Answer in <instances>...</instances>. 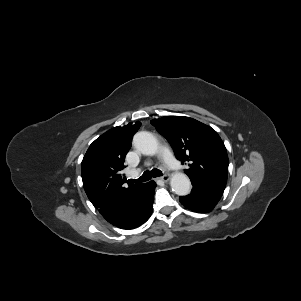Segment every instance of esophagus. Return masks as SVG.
<instances>
[{
	"instance_id": "34e87169",
	"label": "esophagus",
	"mask_w": 301,
	"mask_h": 301,
	"mask_svg": "<svg viewBox=\"0 0 301 301\" xmlns=\"http://www.w3.org/2000/svg\"><path fill=\"white\" fill-rule=\"evenodd\" d=\"M160 180L163 182H168L170 180V177L168 175H164L160 178Z\"/></svg>"
}]
</instances>
